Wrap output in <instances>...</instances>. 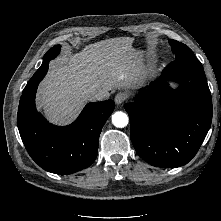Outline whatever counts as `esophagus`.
<instances>
[{
    "mask_svg": "<svg viewBox=\"0 0 221 221\" xmlns=\"http://www.w3.org/2000/svg\"><path fill=\"white\" fill-rule=\"evenodd\" d=\"M126 94L125 93H118L116 96H115V102L117 105H120L122 104L125 99H126Z\"/></svg>",
    "mask_w": 221,
    "mask_h": 221,
    "instance_id": "1",
    "label": "esophagus"
}]
</instances>
